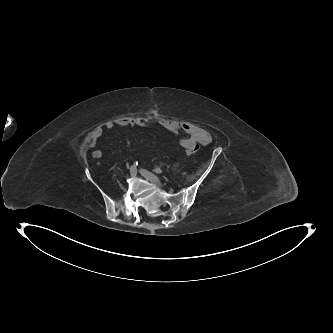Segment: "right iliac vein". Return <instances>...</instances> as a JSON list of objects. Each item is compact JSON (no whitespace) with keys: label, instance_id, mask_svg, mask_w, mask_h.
I'll list each match as a JSON object with an SVG mask.
<instances>
[{"label":"right iliac vein","instance_id":"right-iliac-vein-1","mask_svg":"<svg viewBox=\"0 0 333 333\" xmlns=\"http://www.w3.org/2000/svg\"><path fill=\"white\" fill-rule=\"evenodd\" d=\"M136 174H137L136 168L134 166H131V168H130L131 177H135Z\"/></svg>","mask_w":333,"mask_h":333}]
</instances>
